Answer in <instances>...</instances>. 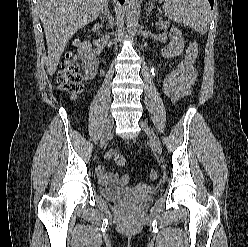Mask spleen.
<instances>
[{
  "mask_svg": "<svg viewBox=\"0 0 248 247\" xmlns=\"http://www.w3.org/2000/svg\"><path fill=\"white\" fill-rule=\"evenodd\" d=\"M168 19L189 25L200 34H205L210 23V5L208 0H162Z\"/></svg>",
  "mask_w": 248,
  "mask_h": 247,
  "instance_id": "1",
  "label": "spleen"
}]
</instances>
